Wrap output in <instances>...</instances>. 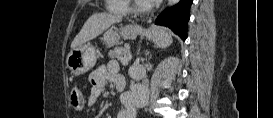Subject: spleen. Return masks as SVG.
<instances>
[{"label":"spleen","mask_w":273,"mask_h":118,"mask_svg":"<svg viewBox=\"0 0 273 118\" xmlns=\"http://www.w3.org/2000/svg\"><path fill=\"white\" fill-rule=\"evenodd\" d=\"M152 33L153 40L158 47L166 48L172 43L171 35L167 32L166 29L155 27Z\"/></svg>","instance_id":"spleen-1"}]
</instances>
